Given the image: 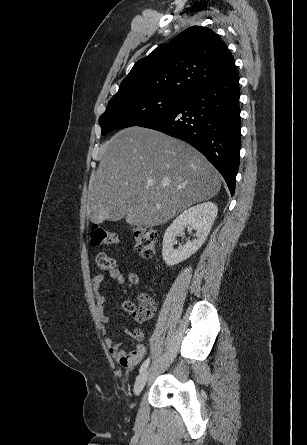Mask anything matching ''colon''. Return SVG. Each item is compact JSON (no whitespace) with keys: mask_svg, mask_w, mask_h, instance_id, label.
Masks as SVG:
<instances>
[{"mask_svg":"<svg viewBox=\"0 0 307 445\" xmlns=\"http://www.w3.org/2000/svg\"><path fill=\"white\" fill-rule=\"evenodd\" d=\"M132 231L136 251L144 258L153 257L159 242L156 231L146 226H134ZM118 243L119 237L115 232L106 230L97 224L92 226L90 231V244L92 246L116 245ZM95 260L100 270L110 271L115 268L113 258L106 252H98ZM131 280L135 281V278L132 277ZM125 308L137 322L150 319L155 312L154 303L147 295H141L137 304L126 303Z\"/></svg>","mask_w":307,"mask_h":445,"instance_id":"1","label":"colon"}]
</instances>
